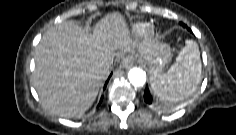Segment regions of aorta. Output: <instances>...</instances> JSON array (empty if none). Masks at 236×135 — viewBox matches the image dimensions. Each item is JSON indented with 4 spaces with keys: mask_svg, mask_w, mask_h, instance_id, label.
Returning a JSON list of instances; mask_svg holds the SVG:
<instances>
[{
    "mask_svg": "<svg viewBox=\"0 0 236 135\" xmlns=\"http://www.w3.org/2000/svg\"><path fill=\"white\" fill-rule=\"evenodd\" d=\"M128 79L135 87L143 86L146 82V74L139 68H132L128 72Z\"/></svg>",
    "mask_w": 236,
    "mask_h": 135,
    "instance_id": "1",
    "label": "aorta"
}]
</instances>
